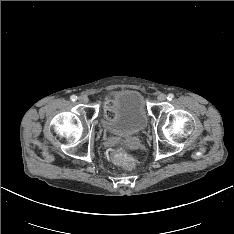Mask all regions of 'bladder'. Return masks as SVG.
Instances as JSON below:
<instances>
[{"label":"bladder","mask_w":234,"mask_h":234,"mask_svg":"<svg viewBox=\"0 0 234 234\" xmlns=\"http://www.w3.org/2000/svg\"><path fill=\"white\" fill-rule=\"evenodd\" d=\"M103 120L112 134L130 136L141 133L148 124L143 96L136 90L111 93L104 102Z\"/></svg>","instance_id":"obj_1"}]
</instances>
